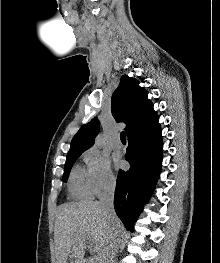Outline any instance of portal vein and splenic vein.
<instances>
[{"mask_svg":"<svg viewBox=\"0 0 220 263\" xmlns=\"http://www.w3.org/2000/svg\"><path fill=\"white\" fill-rule=\"evenodd\" d=\"M92 240V239H91ZM97 250V248L96 247H94V251H96Z\"/></svg>","mask_w":220,"mask_h":263,"instance_id":"portal-vein-and-splenic-vein-1","label":"portal vein and splenic vein"}]
</instances>
